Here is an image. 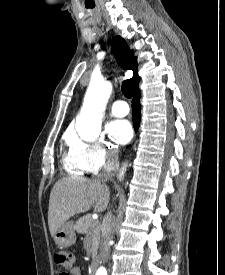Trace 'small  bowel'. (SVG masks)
Instances as JSON below:
<instances>
[{
  "label": "small bowel",
  "instance_id": "1",
  "mask_svg": "<svg viewBox=\"0 0 225 275\" xmlns=\"http://www.w3.org/2000/svg\"><path fill=\"white\" fill-rule=\"evenodd\" d=\"M67 275H81L80 268L78 266H73L69 269Z\"/></svg>",
  "mask_w": 225,
  "mask_h": 275
}]
</instances>
